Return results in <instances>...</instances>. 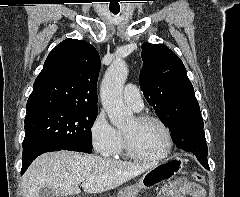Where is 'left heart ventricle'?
I'll use <instances>...</instances> for the list:
<instances>
[{
  "instance_id": "left-heart-ventricle-1",
  "label": "left heart ventricle",
  "mask_w": 240,
  "mask_h": 197,
  "mask_svg": "<svg viewBox=\"0 0 240 197\" xmlns=\"http://www.w3.org/2000/svg\"><path fill=\"white\" fill-rule=\"evenodd\" d=\"M123 133L130 138L135 149L146 156H158L166 149V134L154 121L139 122L134 118Z\"/></svg>"
}]
</instances>
